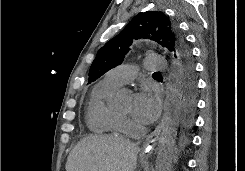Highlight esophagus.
<instances>
[{
  "label": "esophagus",
  "instance_id": "obj_1",
  "mask_svg": "<svg viewBox=\"0 0 245 171\" xmlns=\"http://www.w3.org/2000/svg\"><path fill=\"white\" fill-rule=\"evenodd\" d=\"M160 132H161V126L159 124L156 127V129L147 137L143 148V156L148 157L153 153Z\"/></svg>",
  "mask_w": 245,
  "mask_h": 171
}]
</instances>
